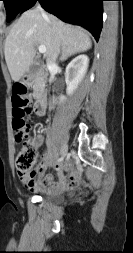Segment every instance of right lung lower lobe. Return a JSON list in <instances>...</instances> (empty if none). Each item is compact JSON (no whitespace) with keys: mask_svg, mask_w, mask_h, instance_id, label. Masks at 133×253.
I'll return each mask as SVG.
<instances>
[{"mask_svg":"<svg viewBox=\"0 0 133 253\" xmlns=\"http://www.w3.org/2000/svg\"><path fill=\"white\" fill-rule=\"evenodd\" d=\"M39 1L42 7L61 20L81 25L99 40L102 29L104 0H26L20 13L34 6Z\"/></svg>","mask_w":133,"mask_h":253,"instance_id":"1","label":"right lung lower lobe"}]
</instances>
